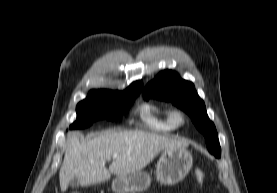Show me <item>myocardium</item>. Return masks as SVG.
Listing matches in <instances>:
<instances>
[{
	"label": "myocardium",
	"mask_w": 277,
	"mask_h": 193,
	"mask_svg": "<svg viewBox=\"0 0 277 193\" xmlns=\"http://www.w3.org/2000/svg\"><path fill=\"white\" fill-rule=\"evenodd\" d=\"M170 119L177 128L183 127L187 123V116L180 109H172L170 111Z\"/></svg>",
	"instance_id": "obj_1"
}]
</instances>
